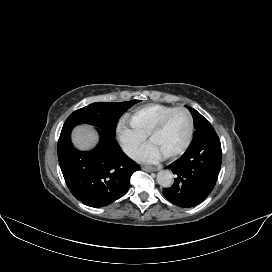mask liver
I'll use <instances>...</instances> for the list:
<instances>
[{
	"instance_id": "6515ba94",
	"label": "liver",
	"mask_w": 272,
	"mask_h": 272,
	"mask_svg": "<svg viewBox=\"0 0 272 272\" xmlns=\"http://www.w3.org/2000/svg\"><path fill=\"white\" fill-rule=\"evenodd\" d=\"M73 143L81 150H90L98 142L97 133L86 125L78 126L72 136Z\"/></svg>"
}]
</instances>
